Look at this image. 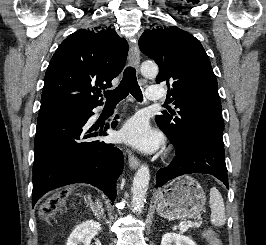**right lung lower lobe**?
Masks as SVG:
<instances>
[{
	"label": "right lung lower lobe",
	"instance_id": "1",
	"mask_svg": "<svg viewBox=\"0 0 266 245\" xmlns=\"http://www.w3.org/2000/svg\"><path fill=\"white\" fill-rule=\"evenodd\" d=\"M99 105L68 111L37 124L32 207L48 191L74 183L91 184L114 202L123 154L113 144L93 138L107 136L106 129L116 127L118 116L102 124L100 130L95 126L88 129L92 109Z\"/></svg>",
	"mask_w": 266,
	"mask_h": 245
}]
</instances>
